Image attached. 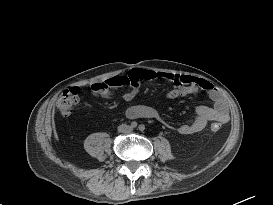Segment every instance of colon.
<instances>
[{"label": "colon", "instance_id": "5ec220e1", "mask_svg": "<svg viewBox=\"0 0 273 205\" xmlns=\"http://www.w3.org/2000/svg\"><path fill=\"white\" fill-rule=\"evenodd\" d=\"M139 80L133 79L131 81L132 85H136ZM80 90L78 88H70L62 91L57 99V108L63 115H69L75 109L79 98ZM211 130L217 132L220 130V125L218 123H213L211 125Z\"/></svg>", "mask_w": 273, "mask_h": 205}]
</instances>
